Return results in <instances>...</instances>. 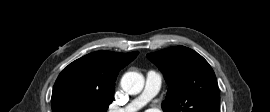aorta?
Wrapping results in <instances>:
<instances>
[{
	"label": "aorta",
	"instance_id": "obj_1",
	"mask_svg": "<svg viewBox=\"0 0 270 112\" xmlns=\"http://www.w3.org/2000/svg\"><path fill=\"white\" fill-rule=\"evenodd\" d=\"M144 87V78L137 72H127L121 79V88L124 92L136 95L142 91Z\"/></svg>",
	"mask_w": 270,
	"mask_h": 112
}]
</instances>
